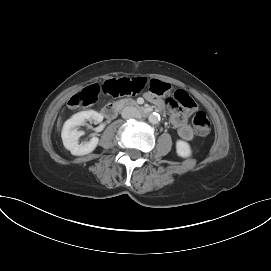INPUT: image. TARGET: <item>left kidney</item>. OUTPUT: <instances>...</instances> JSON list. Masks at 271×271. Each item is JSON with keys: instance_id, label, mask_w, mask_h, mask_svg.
Masks as SVG:
<instances>
[{"instance_id": "5707ae66", "label": "left kidney", "mask_w": 271, "mask_h": 271, "mask_svg": "<svg viewBox=\"0 0 271 271\" xmlns=\"http://www.w3.org/2000/svg\"><path fill=\"white\" fill-rule=\"evenodd\" d=\"M176 152L178 156L183 157V158H188L192 154L190 145L183 140H178L176 142Z\"/></svg>"}]
</instances>
